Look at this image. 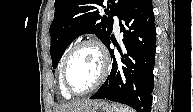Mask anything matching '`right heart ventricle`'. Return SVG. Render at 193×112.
<instances>
[{
  "label": "right heart ventricle",
  "instance_id": "obj_1",
  "mask_svg": "<svg viewBox=\"0 0 193 112\" xmlns=\"http://www.w3.org/2000/svg\"><path fill=\"white\" fill-rule=\"evenodd\" d=\"M67 52H68V49L64 51V53L62 54V56H61V58H60V62H59V73H58V83H59L60 94H61L65 99L71 98V95L68 94V92L65 90V87H64L63 81H62V74H61L63 61H64V58H65Z\"/></svg>",
  "mask_w": 193,
  "mask_h": 112
}]
</instances>
